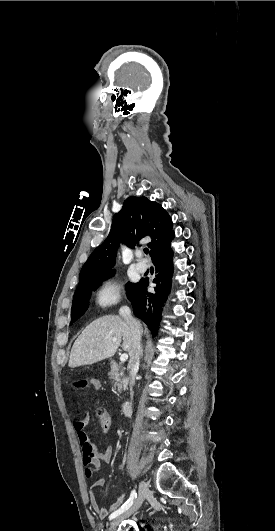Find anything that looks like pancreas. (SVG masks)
Instances as JSON below:
<instances>
[{
	"mask_svg": "<svg viewBox=\"0 0 275 531\" xmlns=\"http://www.w3.org/2000/svg\"><path fill=\"white\" fill-rule=\"evenodd\" d=\"M115 367H117V365L116 363H114V361H112L111 371L110 373H108V377L109 379H113V381H116V383H114L113 385L114 389H116L117 387L118 391H121L122 387H127L129 379H127V377H124L121 367H118V369H115Z\"/></svg>",
	"mask_w": 275,
	"mask_h": 531,
	"instance_id": "cf45deb5",
	"label": "pancreas"
}]
</instances>
